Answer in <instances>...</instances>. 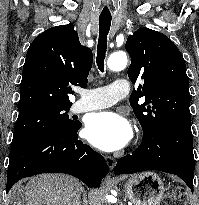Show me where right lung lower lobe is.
<instances>
[{
    "instance_id": "right-lung-lower-lobe-1",
    "label": "right lung lower lobe",
    "mask_w": 199,
    "mask_h": 205,
    "mask_svg": "<svg viewBox=\"0 0 199 205\" xmlns=\"http://www.w3.org/2000/svg\"><path fill=\"white\" fill-rule=\"evenodd\" d=\"M81 127L41 135L10 150L6 193L20 179L41 173L70 174L98 187L109 168L102 155L77 136Z\"/></svg>"
}]
</instances>
